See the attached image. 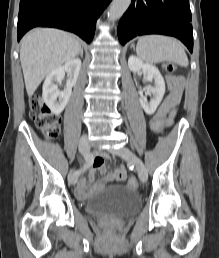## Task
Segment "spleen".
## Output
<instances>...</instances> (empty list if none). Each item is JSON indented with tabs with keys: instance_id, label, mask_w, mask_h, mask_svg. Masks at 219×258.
<instances>
[{
	"instance_id": "spleen-1",
	"label": "spleen",
	"mask_w": 219,
	"mask_h": 258,
	"mask_svg": "<svg viewBox=\"0 0 219 258\" xmlns=\"http://www.w3.org/2000/svg\"><path fill=\"white\" fill-rule=\"evenodd\" d=\"M138 57L149 63L171 61L180 66H188V58L183 45L177 39L163 35L140 37L136 45Z\"/></svg>"
}]
</instances>
